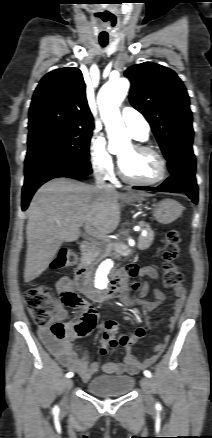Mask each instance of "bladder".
Listing matches in <instances>:
<instances>
[{"mask_svg":"<svg viewBox=\"0 0 212 438\" xmlns=\"http://www.w3.org/2000/svg\"><path fill=\"white\" fill-rule=\"evenodd\" d=\"M134 383V378L129 375H101L90 380L86 384V390L100 397L123 396L132 391Z\"/></svg>","mask_w":212,"mask_h":438,"instance_id":"1","label":"bladder"}]
</instances>
